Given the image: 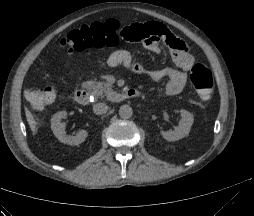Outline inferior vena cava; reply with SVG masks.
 <instances>
[{"label": "inferior vena cava", "mask_w": 254, "mask_h": 216, "mask_svg": "<svg viewBox=\"0 0 254 216\" xmlns=\"http://www.w3.org/2000/svg\"><path fill=\"white\" fill-rule=\"evenodd\" d=\"M109 107L105 103H97L93 106V111L97 115L105 114L108 111Z\"/></svg>", "instance_id": "obj_1"}]
</instances>
